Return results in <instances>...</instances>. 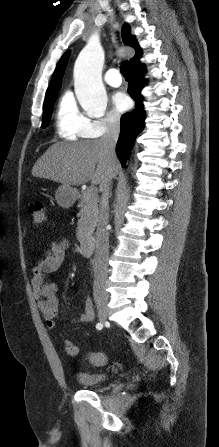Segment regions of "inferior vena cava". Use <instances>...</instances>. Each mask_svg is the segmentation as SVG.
<instances>
[{
  "label": "inferior vena cava",
  "instance_id": "inferior-vena-cava-1",
  "mask_svg": "<svg viewBox=\"0 0 219 447\" xmlns=\"http://www.w3.org/2000/svg\"><path fill=\"white\" fill-rule=\"evenodd\" d=\"M119 137V119L115 118L107 125V131L101 141L104 146V152L111 164L116 158L115 146ZM111 180L106 179L99 187L101 192L100 214L95 234V280H94V298L98 300L100 296H105V282L108 272L109 255V233L107 224L109 218L108 203L110 196Z\"/></svg>",
  "mask_w": 219,
  "mask_h": 447
}]
</instances>
